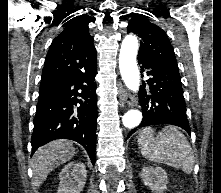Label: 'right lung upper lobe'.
<instances>
[{"instance_id":"obj_1","label":"right lung upper lobe","mask_w":221,"mask_h":193,"mask_svg":"<svg viewBox=\"0 0 221 193\" xmlns=\"http://www.w3.org/2000/svg\"><path fill=\"white\" fill-rule=\"evenodd\" d=\"M65 21L63 31L53 40L46 56L41 84L83 72L96 63L87 20L77 16Z\"/></svg>"}]
</instances>
